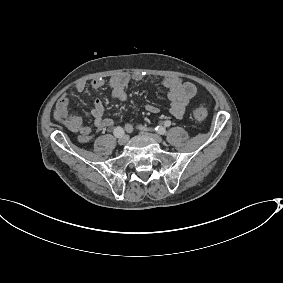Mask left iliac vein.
Masks as SVG:
<instances>
[{
  "label": "left iliac vein",
  "mask_w": 283,
  "mask_h": 283,
  "mask_svg": "<svg viewBox=\"0 0 283 283\" xmlns=\"http://www.w3.org/2000/svg\"><path fill=\"white\" fill-rule=\"evenodd\" d=\"M141 134L148 137V138H151L152 140L156 141L157 143L163 142L162 137L157 135V134L149 133V132H146V131H142Z\"/></svg>",
  "instance_id": "obj_1"
}]
</instances>
